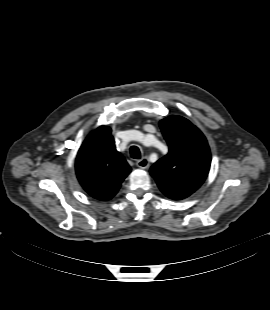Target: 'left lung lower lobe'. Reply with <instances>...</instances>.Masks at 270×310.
<instances>
[{
	"label": "left lung lower lobe",
	"instance_id": "1",
	"mask_svg": "<svg viewBox=\"0 0 270 310\" xmlns=\"http://www.w3.org/2000/svg\"><path fill=\"white\" fill-rule=\"evenodd\" d=\"M160 190L169 198L174 200H181L190 196L193 192L188 190H176L171 188L161 187Z\"/></svg>",
	"mask_w": 270,
	"mask_h": 310
}]
</instances>
